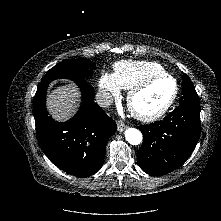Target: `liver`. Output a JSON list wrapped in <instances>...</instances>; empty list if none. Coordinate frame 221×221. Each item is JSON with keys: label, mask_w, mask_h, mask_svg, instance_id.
I'll return each instance as SVG.
<instances>
[{"label": "liver", "mask_w": 221, "mask_h": 221, "mask_svg": "<svg viewBox=\"0 0 221 221\" xmlns=\"http://www.w3.org/2000/svg\"><path fill=\"white\" fill-rule=\"evenodd\" d=\"M79 96L76 85L67 84L59 86L48 95V111L56 121L64 122L76 112Z\"/></svg>", "instance_id": "1"}]
</instances>
